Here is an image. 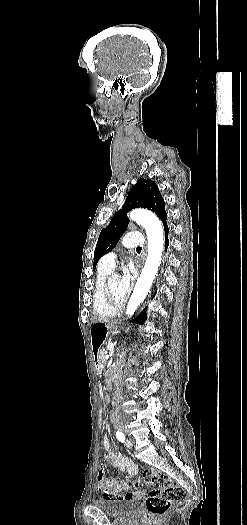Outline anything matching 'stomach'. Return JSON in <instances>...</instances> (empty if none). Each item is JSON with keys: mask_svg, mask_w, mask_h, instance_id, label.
<instances>
[{"mask_svg": "<svg viewBox=\"0 0 247 525\" xmlns=\"http://www.w3.org/2000/svg\"><path fill=\"white\" fill-rule=\"evenodd\" d=\"M109 332V326L102 323H97L92 326L90 331L91 347L94 354H97V350L101 343L105 340L106 335Z\"/></svg>", "mask_w": 247, "mask_h": 525, "instance_id": "0dacf381", "label": "stomach"}]
</instances>
